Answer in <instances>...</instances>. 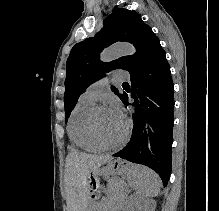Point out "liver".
Here are the masks:
<instances>
[{
	"mask_svg": "<svg viewBox=\"0 0 219 211\" xmlns=\"http://www.w3.org/2000/svg\"><path fill=\"white\" fill-rule=\"evenodd\" d=\"M111 155H91L83 151H70L65 165V197L68 211H85L88 205L89 169L110 161Z\"/></svg>",
	"mask_w": 219,
	"mask_h": 211,
	"instance_id": "1",
	"label": "liver"
}]
</instances>
